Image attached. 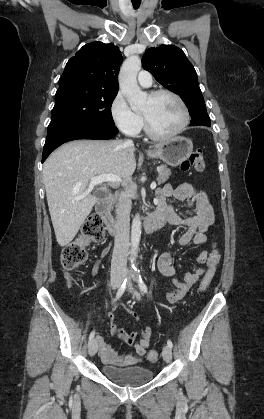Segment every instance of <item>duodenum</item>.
<instances>
[{
	"mask_svg": "<svg viewBox=\"0 0 264 419\" xmlns=\"http://www.w3.org/2000/svg\"><path fill=\"white\" fill-rule=\"evenodd\" d=\"M114 195L103 198L96 207L97 214L101 217L106 225L108 232L111 235H115L117 232V223L112 215V204L114 202ZM164 225L163 219L156 213L148 217L143 222V228L145 232L152 233L161 228Z\"/></svg>",
	"mask_w": 264,
	"mask_h": 419,
	"instance_id": "1",
	"label": "duodenum"
}]
</instances>
